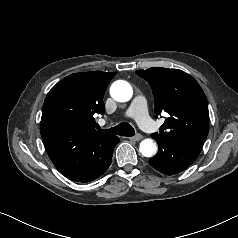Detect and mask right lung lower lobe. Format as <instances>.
Returning a JSON list of instances; mask_svg holds the SVG:
<instances>
[{"instance_id":"right-lung-lower-lobe-1","label":"right lung lower lobe","mask_w":238,"mask_h":238,"mask_svg":"<svg viewBox=\"0 0 238 238\" xmlns=\"http://www.w3.org/2000/svg\"><path fill=\"white\" fill-rule=\"evenodd\" d=\"M119 141V138L116 137L111 143H109V145L101 151L99 160L88 171L67 178L72 181L89 182L101 176L109 167L112 159L113 149L116 144L119 143Z\"/></svg>"}]
</instances>
